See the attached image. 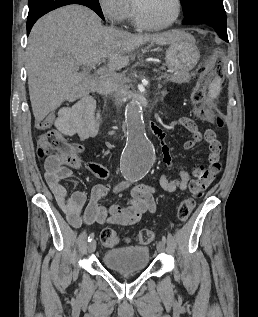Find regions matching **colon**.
<instances>
[{
	"label": "colon",
	"instance_id": "obj_1",
	"mask_svg": "<svg viewBox=\"0 0 258 317\" xmlns=\"http://www.w3.org/2000/svg\"><path fill=\"white\" fill-rule=\"evenodd\" d=\"M217 74L215 70L207 79L203 80L191 93L190 99L194 114L201 120L215 123L222 127L224 122L220 114H214L212 109L207 105L208 85L210 80ZM82 147L74 144L63 137V135L54 129L47 130L39 135L37 153L40 157L55 156L60 158L67 165L77 167L81 164ZM201 193L196 192V196ZM195 208V199H184L177 210V216L180 221H186ZM155 234L150 229H142L136 236L139 244H148L154 240ZM100 239L102 244L107 248L116 247L120 238L111 228H105L101 231Z\"/></svg>",
	"mask_w": 258,
	"mask_h": 317
}]
</instances>
